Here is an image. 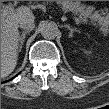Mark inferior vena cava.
I'll return each instance as SVG.
<instances>
[{
  "instance_id": "602c4592",
  "label": "inferior vena cava",
  "mask_w": 109,
  "mask_h": 109,
  "mask_svg": "<svg viewBox=\"0 0 109 109\" xmlns=\"http://www.w3.org/2000/svg\"><path fill=\"white\" fill-rule=\"evenodd\" d=\"M20 28L25 29L27 31H31L35 28V24L33 20H25L20 23Z\"/></svg>"
}]
</instances>
